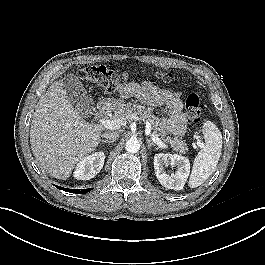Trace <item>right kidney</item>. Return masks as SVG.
Masks as SVG:
<instances>
[{
    "instance_id": "1",
    "label": "right kidney",
    "mask_w": 265,
    "mask_h": 265,
    "mask_svg": "<svg viewBox=\"0 0 265 265\" xmlns=\"http://www.w3.org/2000/svg\"><path fill=\"white\" fill-rule=\"evenodd\" d=\"M105 154L95 152L83 158L77 165L74 177L77 180H90L96 176L104 165Z\"/></svg>"
}]
</instances>
